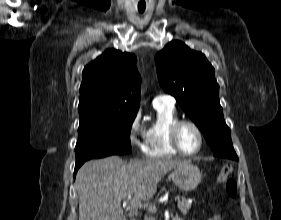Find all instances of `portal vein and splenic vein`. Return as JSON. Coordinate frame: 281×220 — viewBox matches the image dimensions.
Returning <instances> with one entry per match:
<instances>
[{
	"mask_svg": "<svg viewBox=\"0 0 281 220\" xmlns=\"http://www.w3.org/2000/svg\"><path fill=\"white\" fill-rule=\"evenodd\" d=\"M127 200L130 201L131 206L134 207V208H141V207H142L141 201L135 200V199H131V195H128V196H127ZM174 200H175L176 202H178V201L180 200V197L177 196V197H175ZM152 209L155 210V207L151 208V210H152Z\"/></svg>",
	"mask_w": 281,
	"mask_h": 220,
	"instance_id": "1",
	"label": "portal vein and splenic vein"
}]
</instances>
